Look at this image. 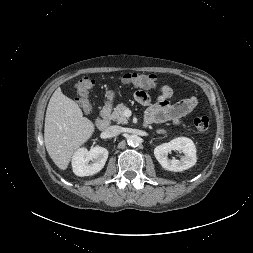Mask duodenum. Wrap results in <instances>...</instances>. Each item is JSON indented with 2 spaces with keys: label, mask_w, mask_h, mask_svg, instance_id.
Segmentation results:
<instances>
[{
  "label": "duodenum",
  "mask_w": 253,
  "mask_h": 253,
  "mask_svg": "<svg viewBox=\"0 0 253 253\" xmlns=\"http://www.w3.org/2000/svg\"><path fill=\"white\" fill-rule=\"evenodd\" d=\"M109 113H110V106L105 105L95 121V124L98 129L105 130L109 126L110 123Z\"/></svg>",
  "instance_id": "1"
}]
</instances>
